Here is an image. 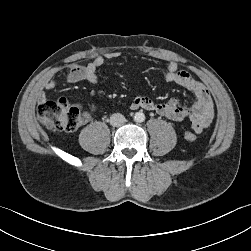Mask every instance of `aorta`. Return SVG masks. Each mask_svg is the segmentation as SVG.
<instances>
[{
	"label": "aorta",
	"instance_id": "762f6f07",
	"mask_svg": "<svg viewBox=\"0 0 251 251\" xmlns=\"http://www.w3.org/2000/svg\"><path fill=\"white\" fill-rule=\"evenodd\" d=\"M134 120H135V122H139V123L144 122V120H145L144 113H142V112L135 113Z\"/></svg>",
	"mask_w": 251,
	"mask_h": 251
}]
</instances>
